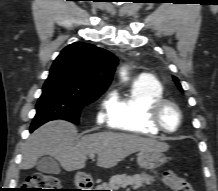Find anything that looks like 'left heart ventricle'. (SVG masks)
Instances as JSON below:
<instances>
[{"instance_id":"1","label":"left heart ventricle","mask_w":218,"mask_h":191,"mask_svg":"<svg viewBox=\"0 0 218 191\" xmlns=\"http://www.w3.org/2000/svg\"><path fill=\"white\" fill-rule=\"evenodd\" d=\"M161 122L168 130H174L179 123V116L176 109L172 106H166L161 113Z\"/></svg>"}]
</instances>
